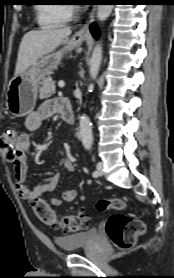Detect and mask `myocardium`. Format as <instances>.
Wrapping results in <instances>:
<instances>
[{
	"label": "myocardium",
	"mask_w": 174,
	"mask_h": 278,
	"mask_svg": "<svg viewBox=\"0 0 174 278\" xmlns=\"http://www.w3.org/2000/svg\"><path fill=\"white\" fill-rule=\"evenodd\" d=\"M68 7H69L71 13L77 11V7L76 6L69 5Z\"/></svg>",
	"instance_id": "myocardium-1"
}]
</instances>
